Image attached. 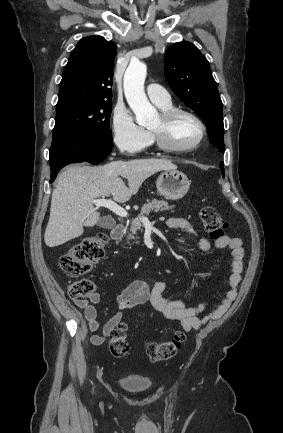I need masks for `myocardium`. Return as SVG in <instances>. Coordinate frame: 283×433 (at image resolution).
<instances>
[{
  "label": "myocardium",
  "mask_w": 283,
  "mask_h": 433,
  "mask_svg": "<svg viewBox=\"0 0 283 433\" xmlns=\"http://www.w3.org/2000/svg\"><path fill=\"white\" fill-rule=\"evenodd\" d=\"M180 115H188L192 117L200 128V134L197 139L185 147H177V145L171 140V129L173 123ZM151 132L156 140L158 150L166 154L178 155L189 153L197 149L207 135V126L196 112L187 108L174 107L163 111L160 114L159 126L157 129H151Z\"/></svg>",
  "instance_id": "obj_1"
}]
</instances>
